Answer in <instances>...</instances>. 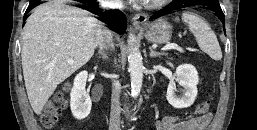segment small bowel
<instances>
[{
	"instance_id": "c3829d8e",
	"label": "small bowel",
	"mask_w": 257,
	"mask_h": 130,
	"mask_svg": "<svg viewBox=\"0 0 257 130\" xmlns=\"http://www.w3.org/2000/svg\"><path fill=\"white\" fill-rule=\"evenodd\" d=\"M211 119L210 114L200 117L179 118L165 116L155 124L156 130H203Z\"/></svg>"
}]
</instances>
